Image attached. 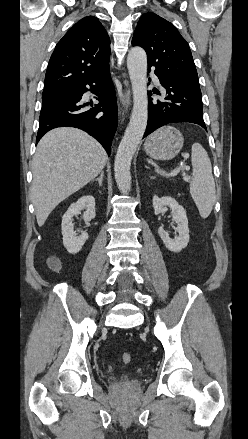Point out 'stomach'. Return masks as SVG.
Here are the masks:
<instances>
[{
	"instance_id": "stomach-1",
	"label": "stomach",
	"mask_w": 248,
	"mask_h": 439,
	"mask_svg": "<svg viewBox=\"0 0 248 439\" xmlns=\"http://www.w3.org/2000/svg\"><path fill=\"white\" fill-rule=\"evenodd\" d=\"M184 138L181 132L165 126L150 135L144 144L147 155L156 160H170L182 149Z\"/></svg>"
}]
</instances>
